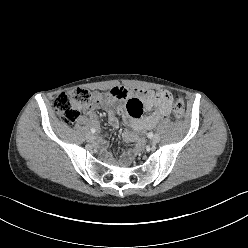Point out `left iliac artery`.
I'll return each instance as SVG.
<instances>
[{
  "mask_svg": "<svg viewBox=\"0 0 248 248\" xmlns=\"http://www.w3.org/2000/svg\"><path fill=\"white\" fill-rule=\"evenodd\" d=\"M153 136H154L153 132H149V133H148V137H149V138H152Z\"/></svg>",
  "mask_w": 248,
  "mask_h": 248,
  "instance_id": "obj_1",
  "label": "left iliac artery"
}]
</instances>
